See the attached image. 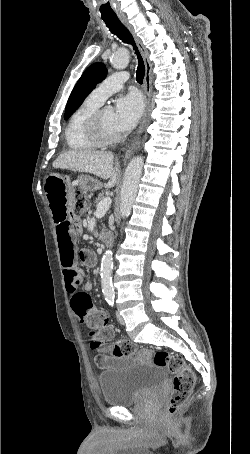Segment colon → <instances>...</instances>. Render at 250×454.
<instances>
[{"instance_id":"1","label":"colon","mask_w":250,"mask_h":454,"mask_svg":"<svg viewBox=\"0 0 250 454\" xmlns=\"http://www.w3.org/2000/svg\"><path fill=\"white\" fill-rule=\"evenodd\" d=\"M89 208L88 197L83 192H76L73 198L71 216L79 219L89 211ZM86 324L91 329L89 334L90 346L100 354L115 357L137 356L144 360L152 358L156 366L167 369L173 377V390L167 403L166 412L170 417L179 412L191 396L195 385V375L181 356L165 350L156 352L147 349L141 350L128 340L112 342L113 330L108 325L106 315H93Z\"/></svg>"}]
</instances>
